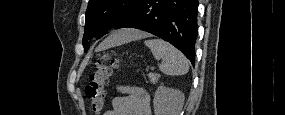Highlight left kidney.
<instances>
[{
  "label": "left kidney",
  "instance_id": "5707ae66",
  "mask_svg": "<svg viewBox=\"0 0 285 115\" xmlns=\"http://www.w3.org/2000/svg\"><path fill=\"white\" fill-rule=\"evenodd\" d=\"M184 98V94L179 90L159 86L153 100L155 115H179Z\"/></svg>",
  "mask_w": 285,
  "mask_h": 115
}]
</instances>
